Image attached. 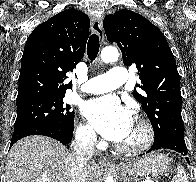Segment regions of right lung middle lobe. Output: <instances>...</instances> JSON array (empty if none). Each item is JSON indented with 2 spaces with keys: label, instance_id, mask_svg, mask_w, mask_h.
Masks as SVG:
<instances>
[{
  "label": "right lung middle lobe",
  "instance_id": "obj_1",
  "mask_svg": "<svg viewBox=\"0 0 196 182\" xmlns=\"http://www.w3.org/2000/svg\"><path fill=\"white\" fill-rule=\"evenodd\" d=\"M64 96L43 97L17 104L14 130L34 124H53L73 130L74 111L70 105L64 104Z\"/></svg>",
  "mask_w": 196,
  "mask_h": 182
}]
</instances>
